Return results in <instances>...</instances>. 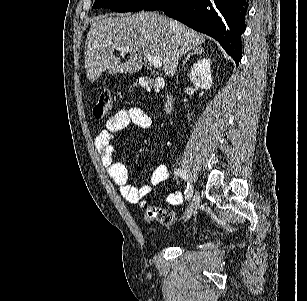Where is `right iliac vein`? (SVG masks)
Instances as JSON below:
<instances>
[{
    "instance_id": "63e3f726",
    "label": "right iliac vein",
    "mask_w": 307,
    "mask_h": 301,
    "mask_svg": "<svg viewBox=\"0 0 307 301\" xmlns=\"http://www.w3.org/2000/svg\"><path fill=\"white\" fill-rule=\"evenodd\" d=\"M188 190H191L193 197L191 199V203L189 205V208L185 214V222L188 221L196 212V210L199 208L200 205V194L198 191L193 190V185L189 183Z\"/></svg>"
}]
</instances>
